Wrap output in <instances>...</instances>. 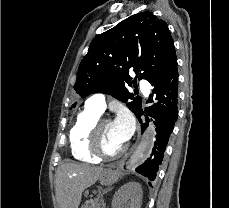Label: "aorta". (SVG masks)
Here are the masks:
<instances>
[{"instance_id":"1","label":"aorta","mask_w":229,"mask_h":208,"mask_svg":"<svg viewBox=\"0 0 229 208\" xmlns=\"http://www.w3.org/2000/svg\"><path fill=\"white\" fill-rule=\"evenodd\" d=\"M153 136H154V128L150 125L146 130L143 140L136 148V150L134 151L130 159L127 161L126 163L127 169H132L136 167L138 163L145 157L147 150L150 147Z\"/></svg>"}]
</instances>
